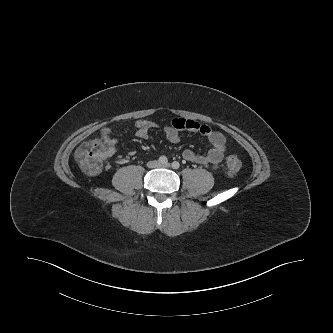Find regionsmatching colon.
Segmentation results:
<instances>
[{
  "label": "colon",
  "mask_w": 333,
  "mask_h": 333,
  "mask_svg": "<svg viewBox=\"0 0 333 333\" xmlns=\"http://www.w3.org/2000/svg\"><path fill=\"white\" fill-rule=\"evenodd\" d=\"M111 152V148L103 139H94L82 144L75 152V160L80 168L88 174H97L102 163ZM241 169V161L237 156L231 155L226 160L228 175L234 176Z\"/></svg>",
  "instance_id": "colon-1"
}]
</instances>
